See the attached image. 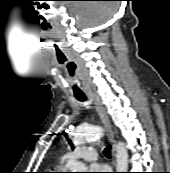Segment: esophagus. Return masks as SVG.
<instances>
[{
  "mask_svg": "<svg viewBox=\"0 0 170 173\" xmlns=\"http://www.w3.org/2000/svg\"><path fill=\"white\" fill-rule=\"evenodd\" d=\"M88 95L91 98V100L94 102L97 112L101 118V121H102L103 125L105 126V128L107 129L108 137H109V140H110L111 146H112V157L114 158V156H115V139H114V134L111 129L109 117H108L105 109L103 108V106L100 104V101L97 98V96L92 92H89Z\"/></svg>",
  "mask_w": 170,
  "mask_h": 173,
  "instance_id": "esophagus-1",
  "label": "esophagus"
}]
</instances>
